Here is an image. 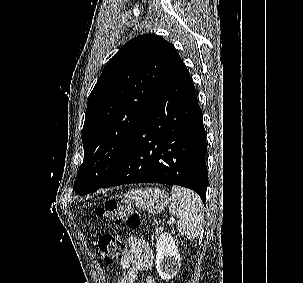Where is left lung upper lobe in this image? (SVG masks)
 <instances>
[{"mask_svg":"<svg viewBox=\"0 0 303 283\" xmlns=\"http://www.w3.org/2000/svg\"><path fill=\"white\" fill-rule=\"evenodd\" d=\"M178 56L161 36L143 34L107 62L88 99L84 160L74 184L77 194L97 189L114 174Z\"/></svg>","mask_w":303,"mask_h":283,"instance_id":"5c2ea615","label":"left lung upper lobe"}]
</instances>
